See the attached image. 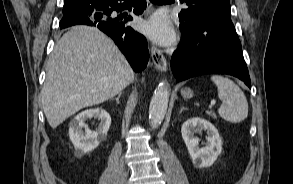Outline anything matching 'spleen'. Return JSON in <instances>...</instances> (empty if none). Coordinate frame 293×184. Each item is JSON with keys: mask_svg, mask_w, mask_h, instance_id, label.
Listing matches in <instances>:
<instances>
[{"mask_svg": "<svg viewBox=\"0 0 293 184\" xmlns=\"http://www.w3.org/2000/svg\"><path fill=\"white\" fill-rule=\"evenodd\" d=\"M211 80L217 86L218 97L222 105L219 115L231 123H240L248 116V102L240 87L231 79L221 75H213Z\"/></svg>", "mask_w": 293, "mask_h": 184, "instance_id": "3e777b00", "label": "spleen"}]
</instances>
